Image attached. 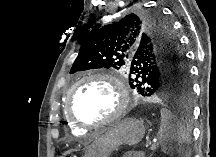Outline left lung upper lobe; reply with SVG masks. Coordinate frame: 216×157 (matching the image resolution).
Listing matches in <instances>:
<instances>
[{"instance_id": "obj_1", "label": "left lung upper lobe", "mask_w": 216, "mask_h": 157, "mask_svg": "<svg viewBox=\"0 0 216 157\" xmlns=\"http://www.w3.org/2000/svg\"><path fill=\"white\" fill-rule=\"evenodd\" d=\"M161 10H136L118 22L93 28L82 39L70 73L127 68L129 84L142 96L178 95L189 101L186 57Z\"/></svg>"}]
</instances>
